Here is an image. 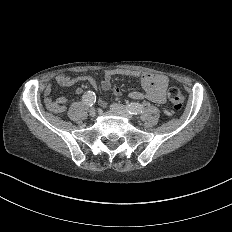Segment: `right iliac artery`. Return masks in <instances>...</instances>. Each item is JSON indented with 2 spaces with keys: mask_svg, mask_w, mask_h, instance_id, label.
Segmentation results:
<instances>
[{
  "mask_svg": "<svg viewBox=\"0 0 232 232\" xmlns=\"http://www.w3.org/2000/svg\"><path fill=\"white\" fill-rule=\"evenodd\" d=\"M82 101L89 106H92L96 102V94L93 91H87L82 96Z\"/></svg>",
  "mask_w": 232,
  "mask_h": 232,
  "instance_id": "82829eb1",
  "label": "right iliac artery"
}]
</instances>
